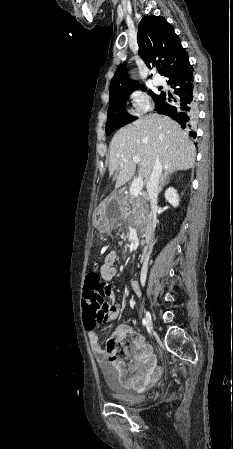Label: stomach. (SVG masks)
<instances>
[{"label": "stomach", "mask_w": 233, "mask_h": 449, "mask_svg": "<svg viewBox=\"0 0 233 449\" xmlns=\"http://www.w3.org/2000/svg\"><path fill=\"white\" fill-rule=\"evenodd\" d=\"M123 199L115 195L100 207L96 222L100 228H111L123 217Z\"/></svg>", "instance_id": "0dacf381"}]
</instances>
